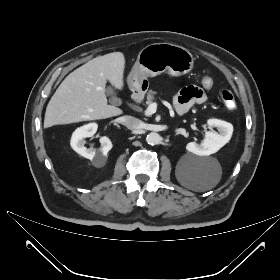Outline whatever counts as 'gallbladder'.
<instances>
[{"instance_id":"gallbladder-1","label":"gallbladder","mask_w":280,"mask_h":280,"mask_svg":"<svg viewBox=\"0 0 280 280\" xmlns=\"http://www.w3.org/2000/svg\"><path fill=\"white\" fill-rule=\"evenodd\" d=\"M106 93H107V95L109 96V102H110L111 104H114V105L120 104L121 100H120V98H118V97L116 96V94H115V92H114V90H113L112 87H110V86L107 87Z\"/></svg>"}]
</instances>
